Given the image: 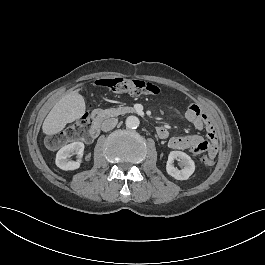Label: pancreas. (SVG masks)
<instances>
[{
    "label": "pancreas",
    "instance_id": "pancreas-1",
    "mask_svg": "<svg viewBox=\"0 0 265 265\" xmlns=\"http://www.w3.org/2000/svg\"><path fill=\"white\" fill-rule=\"evenodd\" d=\"M126 113H135V109L130 106H121L118 108L109 107L105 109V115L108 117H114V116L123 115Z\"/></svg>",
    "mask_w": 265,
    "mask_h": 265
}]
</instances>
